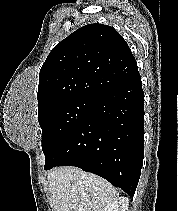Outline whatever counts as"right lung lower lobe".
<instances>
[{"label":"right lung lower lobe","mask_w":178,"mask_h":211,"mask_svg":"<svg viewBox=\"0 0 178 211\" xmlns=\"http://www.w3.org/2000/svg\"><path fill=\"white\" fill-rule=\"evenodd\" d=\"M143 104L138 73L95 101L87 116L49 154L44 169L77 166L133 196L143 163Z\"/></svg>","instance_id":"98d812e1"}]
</instances>
